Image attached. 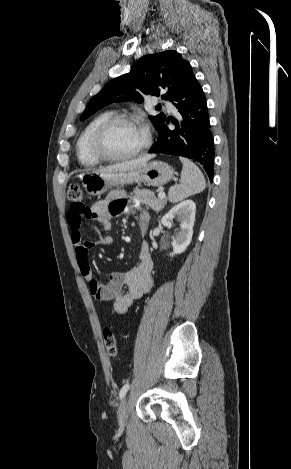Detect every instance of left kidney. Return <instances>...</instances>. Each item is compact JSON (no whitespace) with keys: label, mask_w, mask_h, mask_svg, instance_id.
<instances>
[{"label":"left kidney","mask_w":291,"mask_h":469,"mask_svg":"<svg viewBox=\"0 0 291 469\" xmlns=\"http://www.w3.org/2000/svg\"><path fill=\"white\" fill-rule=\"evenodd\" d=\"M195 213V203L192 200H185L171 208L163 216L161 223L168 228L172 227L174 218L181 222L179 231L172 238L173 252L170 253V256L183 253L189 246L193 235Z\"/></svg>","instance_id":"obj_1"}]
</instances>
